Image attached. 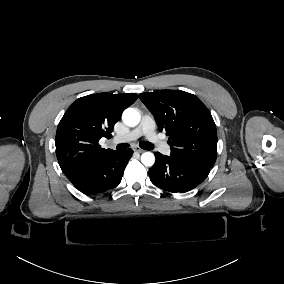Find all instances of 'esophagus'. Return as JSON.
I'll return each instance as SVG.
<instances>
[{"label":"esophagus","instance_id":"34e87169","mask_svg":"<svg viewBox=\"0 0 284 284\" xmlns=\"http://www.w3.org/2000/svg\"><path fill=\"white\" fill-rule=\"evenodd\" d=\"M132 149L138 153H143L145 150L140 148L139 146H133Z\"/></svg>","mask_w":284,"mask_h":284}]
</instances>
